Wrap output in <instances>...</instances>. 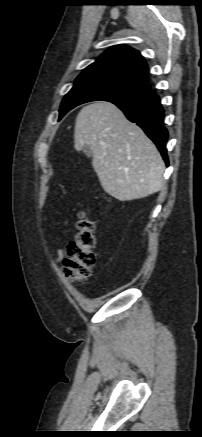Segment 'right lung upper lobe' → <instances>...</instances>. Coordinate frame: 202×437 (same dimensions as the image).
Instances as JSON below:
<instances>
[{
    "mask_svg": "<svg viewBox=\"0 0 202 437\" xmlns=\"http://www.w3.org/2000/svg\"><path fill=\"white\" fill-rule=\"evenodd\" d=\"M89 71L114 72L140 82H147L148 66L138 51L125 45H118L108 49L83 70V72Z\"/></svg>",
    "mask_w": 202,
    "mask_h": 437,
    "instance_id": "obj_1",
    "label": "right lung upper lobe"
}]
</instances>
